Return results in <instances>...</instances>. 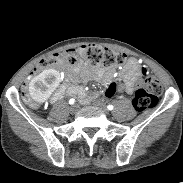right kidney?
<instances>
[{"label": "right kidney", "instance_id": "right-kidney-1", "mask_svg": "<svg viewBox=\"0 0 183 183\" xmlns=\"http://www.w3.org/2000/svg\"><path fill=\"white\" fill-rule=\"evenodd\" d=\"M60 75L54 69H47L34 77L29 84L31 98L41 104L52 94L59 83Z\"/></svg>", "mask_w": 183, "mask_h": 183}]
</instances>
